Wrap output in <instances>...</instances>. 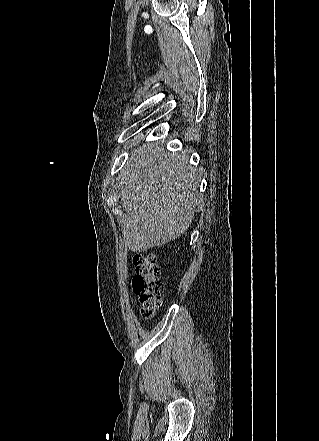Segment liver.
Returning <instances> with one entry per match:
<instances>
[{"label":"liver","mask_w":319,"mask_h":441,"mask_svg":"<svg viewBox=\"0 0 319 441\" xmlns=\"http://www.w3.org/2000/svg\"><path fill=\"white\" fill-rule=\"evenodd\" d=\"M121 175L123 234L130 250L162 246L189 228L201 202V170L190 167L183 153H169L158 142L144 144L133 150Z\"/></svg>","instance_id":"liver-1"}]
</instances>
